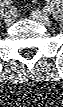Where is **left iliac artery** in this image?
I'll use <instances>...</instances> for the list:
<instances>
[{
  "label": "left iliac artery",
  "instance_id": "1",
  "mask_svg": "<svg viewBox=\"0 0 63 107\" xmlns=\"http://www.w3.org/2000/svg\"><path fill=\"white\" fill-rule=\"evenodd\" d=\"M52 10H53L52 5L48 1L47 6H46V11L50 13Z\"/></svg>",
  "mask_w": 63,
  "mask_h": 107
}]
</instances>
